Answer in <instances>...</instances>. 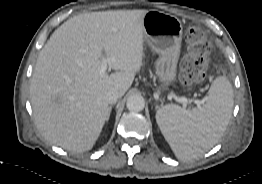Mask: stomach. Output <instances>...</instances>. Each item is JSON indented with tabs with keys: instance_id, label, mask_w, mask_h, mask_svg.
<instances>
[{
	"instance_id": "obj_1",
	"label": "stomach",
	"mask_w": 262,
	"mask_h": 184,
	"mask_svg": "<svg viewBox=\"0 0 262 184\" xmlns=\"http://www.w3.org/2000/svg\"><path fill=\"white\" fill-rule=\"evenodd\" d=\"M144 40L159 58L156 75L163 87L176 81L177 62L180 56L183 26L173 15L150 10L143 17Z\"/></svg>"
}]
</instances>
